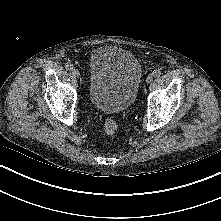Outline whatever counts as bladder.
I'll return each mask as SVG.
<instances>
[{"label":"bladder","instance_id":"31cf9c89","mask_svg":"<svg viewBox=\"0 0 221 221\" xmlns=\"http://www.w3.org/2000/svg\"><path fill=\"white\" fill-rule=\"evenodd\" d=\"M142 66L136 56L123 48L102 46L90 57L88 99L105 113L130 108L138 94Z\"/></svg>","mask_w":221,"mask_h":221}]
</instances>
